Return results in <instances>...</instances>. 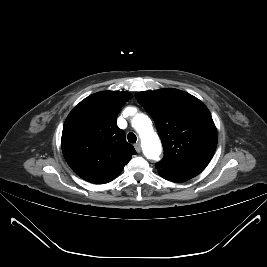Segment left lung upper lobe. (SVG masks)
<instances>
[{
	"mask_svg": "<svg viewBox=\"0 0 267 267\" xmlns=\"http://www.w3.org/2000/svg\"><path fill=\"white\" fill-rule=\"evenodd\" d=\"M137 101L153 118L164 149L157 164L198 175L217 146V130L207 107L196 97L177 90L139 92Z\"/></svg>",
	"mask_w": 267,
	"mask_h": 267,
	"instance_id": "1",
	"label": "left lung upper lobe"
}]
</instances>
